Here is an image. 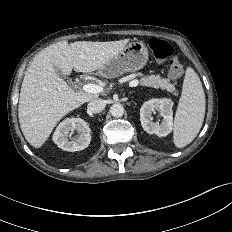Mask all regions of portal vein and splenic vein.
Returning a JSON list of instances; mask_svg holds the SVG:
<instances>
[{
    "instance_id": "portal-vein-and-splenic-vein-1",
    "label": "portal vein and splenic vein",
    "mask_w": 232,
    "mask_h": 232,
    "mask_svg": "<svg viewBox=\"0 0 232 232\" xmlns=\"http://www.w3.org/2000/svg\"><path fill=\"white\" fill-rule=\"evenodd\" d=\"M139 85V81L138 80H132L130 82V86L131 87H136ZM83 90L87 93H91V94H99L103 91V87L97 85V84H93V83H88V84H84L83 85Z\"/></svg>"
}]
</instances>
